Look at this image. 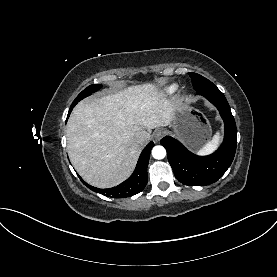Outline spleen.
Here are the masks:
<instances>
[{"label": "spleen", "mask_w": 277, "mask_h": 277, "mask_svg": "<svg viewBox=\"0 0 277 277\" xmlns=\"http://www.w3.org/2000/svg\"><path fill=\"white\" fill-rule=\"evenodd\" d=\"M220 138H221V136H220L219 132L216 133V135L213 136L212 140H211V141H208V142L198 151V154H199V155H207V154L212 153V152L217 148V146L219 145Z\"/></svg>", "instance_id": "3e777b00"}]
</instances>
